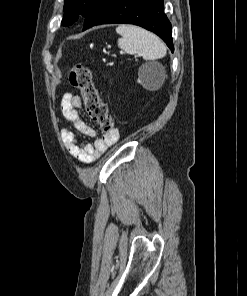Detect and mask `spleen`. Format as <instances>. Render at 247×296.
Instances as JSON below:
<instances>
[{
	"instance_id": "3e777b00",
	"label": "spleen",
	"mask_w": 247,
	"mask_h": 296,
	"mask_svg": "<svg viewBox=\"0 0 247 296\" xmlns=\"http://www.w3.org/2000/svg\"><path fill=\"white\" fill-rule=\"evenodd\" d=\"M116 32L121 35L118 47L144 60L161 59L166 55V46L155 34L135 25H119Z\"/></svg>"
}]
</instances>
